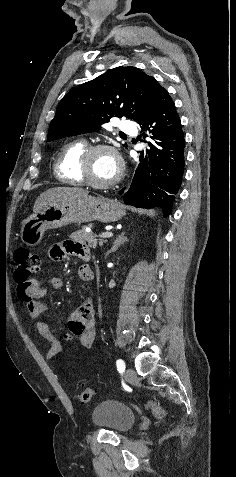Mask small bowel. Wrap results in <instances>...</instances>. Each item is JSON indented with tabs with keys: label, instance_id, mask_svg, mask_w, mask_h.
<instances>
[{
	"label": "small bowel",
	"instance_id": "c3829d8e",
	"mask_svg": "<svg viewBox=\"0 0 236 477\" xmlns=\"http://www.w3.org/2000/svg\"><path fill=\"white\" fill-rule=\"evenodd\" d=\"M68 256H78L84 261L91 258L90 250L86 245L74 242L64 241L53 244L50 248V257L53 261H62ZM79 276L84 281H91L94 278L93 269L84 264L79 268ZM30 291L19 292V297L27 305L29 316L36 320V327L40 335L50 342V348L47 352V358L52 360L62 351V341L58 339L52 330L51 325L40 317L47 314L49 308L43 298L46 295L47 288L62 290L64 281L60 277H49L38 279L32 282ZM70 334L64 337L69 340L71 337L77 339L82 348L89 349L95 340V305L91 297H87L72 315L69 320Z\"/></svg>",
	"mask_w": 236,
	"mask_h": 477
}]
</instances>
